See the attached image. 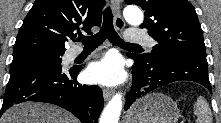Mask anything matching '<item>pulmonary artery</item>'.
Listing matches in <instances>:
<instances>
[{"mask_svg":"<svg viewBox=\"0 0 221 123\" xmlns=\"http://www.w3.org/2000/svg\"><path fill=\"white\" fill-rule=\"evenodd\" d=\"M126 41L130 43H145L149 47H153L155 45L154 40L149 37L145 32L140 29L132 28L126 34ZM82 52L81 48H72L69 50L67 56L72 59L78 56Z\"/></svg>","mask_w":221,"mask_h":123,"instance_id":"1","label":"pulmonary artery"}]
</instances>
